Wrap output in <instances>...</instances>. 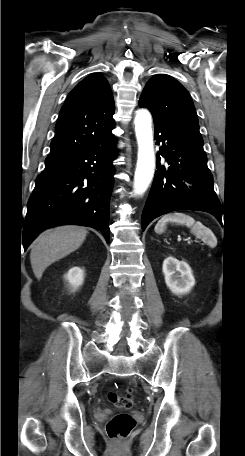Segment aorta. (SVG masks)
<instances>
[{
  "label": "aorta",
  "mask_w": 245,
  "mask_h": 456,
  "mask_svg": "<svg viewBox=\"0 0 245 456\" xmlns=\"http://www.w3.org/2000/svg\"><path fill=\"white\" fill-rule=\"evenodd\" d=\"M151 123L152 118L148 110L140 109L136 112L134 124L138 158L134 175V192L138 195L147 190L154 176L155 153Z\"/></svg>",
  "instance_id": "1"
}]
</instances>
